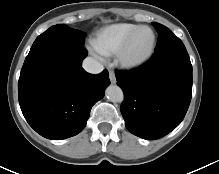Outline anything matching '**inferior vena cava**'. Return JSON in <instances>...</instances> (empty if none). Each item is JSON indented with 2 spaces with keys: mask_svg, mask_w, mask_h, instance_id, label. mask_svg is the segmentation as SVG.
Segmentation results:
<instances>
[{
  "mask_svg": "<svg viewBox=\"0 0 219 174\" xmlns=\"http://www.w3.org/2000/svg\"><path fill=\"white\" fill-rule=\"evenodd\" d=\"M83 68L89 73L98 74L103 70V65L97 60L87 57L83 61Z\"/></svg>",
  "mask_w": 219,
  "mask_h": 174,
  "instance_id": "obj_1",
  "label": "inferior vena cava"
}]
</instances>
